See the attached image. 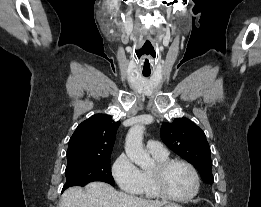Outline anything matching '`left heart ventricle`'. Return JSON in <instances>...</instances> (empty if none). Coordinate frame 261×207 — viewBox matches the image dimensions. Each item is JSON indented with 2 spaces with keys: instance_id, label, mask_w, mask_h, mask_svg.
<instances>
[{
  "instance_id": "obj_1",
  "label": "left heart ventricle",
  "mask_w": 261,
  "mask_h": 207,
  "mask_svg": "<svg viewBox=\"0 0 261 207\" xmlns=\"http://www.w3.org/2000/svg\"><path fill=\"white\" fill-rule=\"evenodd\" d=\"M167 191L177 197L189 195L194 189V180L187 167L181 164L171 166L164 177Z\"/></svg>"
}]
</instances>
